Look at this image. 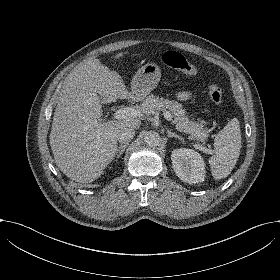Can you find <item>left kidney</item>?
<instances>
[{
  "label": "left kidney",
  "mask_w": 280,
  "mask_h": 280,
  "mask_svg": "<svg viewBox=\"0 0 280 280\" xmlns=\"http://www.w3.org/2000/svg\"><path fill=\"white\" fill-rule=\"evenodd\" d=\"M172 167L175 174L190 184L202 183L206 178L205 160L193 149L178 148L171 153Z\"/></svg>",
  "instance_id": "1"
}]
</instances>
